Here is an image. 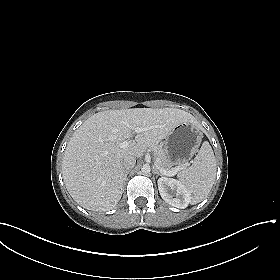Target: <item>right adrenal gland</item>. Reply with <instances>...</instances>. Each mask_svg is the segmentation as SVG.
I'll return each mask as SVG.
<instances>
[{"label":"right adrenal gland","instance_id":"1","mask_svg":"<svg viewBox=\"0 0 280 280\" xmlns=\"http://www.w3.org/2000/svg\"><path fill=\"white\" fill-rule=\"evenodd\" d=\"M129 174V172L127 171L126 173H125V175H124V184H125V181L127 180V175Z\"/></svg>","mask_w":280,"mask_h":280}]
</instances>
